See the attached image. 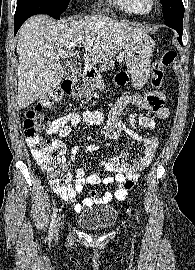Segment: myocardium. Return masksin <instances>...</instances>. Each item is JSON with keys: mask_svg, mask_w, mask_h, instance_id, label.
I'll list each match as a JSON object with an SVG mask.
<instances>
[{"mask_svg": "<svg viewBox=\"0 0 195 270\" xmlns=\"http://www.w3.org/2000/svg\"><path fill=\"white\" fill-rule=\"evenodd\" d=\"M140 3L146 12L154 10L158 4L157 0H140Z\"/></svg>", "mask_w": 195, "mask_h": 270, "instance_id": "f54148a6", "label": "myocardium"}]
</instances>
